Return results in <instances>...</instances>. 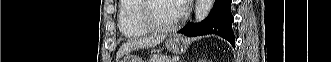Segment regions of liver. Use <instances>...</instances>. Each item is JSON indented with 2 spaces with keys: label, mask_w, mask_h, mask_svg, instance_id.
I'll return each mask as SVG.
<instances>
[{
  "label": "liver",
  "mask_w": 331,
  "mask_h": 62,
  "mask_svg": "<svg viewBox=\"0 0 331 62\" xmlns=\"http://www.w3.org/2000/svg\"><path fill=\"white\" fill-rule=\"evenodd\" d=\"M166 35L148 36L135 40H130L124 43L118 50L116 60H119L124 54L131 52L132 50L139 48L155 47L164 41Z\"/></svg>",
  "instance_id": "6515ba94"
}]
</instances>
